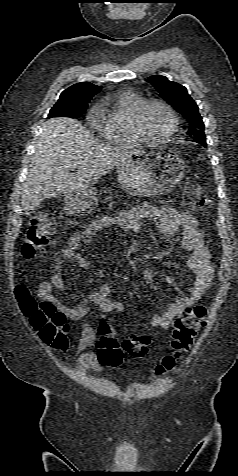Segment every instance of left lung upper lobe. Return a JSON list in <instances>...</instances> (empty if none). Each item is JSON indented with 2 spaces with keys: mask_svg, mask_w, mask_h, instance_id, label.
<instances>
[{
  "mask_svg": "<svg viewBox=\"0 0 238 476\" xmlns=\"http://www.w3.org/2000/svg\"><path fill=\"white\" fill-rule=\"evenodd\" d=\"M149 80L160 96L189 122L191 128L187 134L206 146L204 123L199 114L198 106L188 94L187 89L181 84L169 81L165 76L161 75L150 76Z\"/></svg>",
  "mask_w": 238,
  "mask_h": 476,
  "instance_id": "obj_1",
  "label": "left lung upper lobe"
}]
</instances>
